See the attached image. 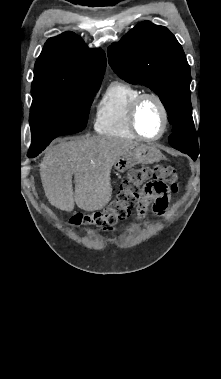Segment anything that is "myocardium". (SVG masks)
Segmentation results:
<instances>
[{"instance_id": "1", "label": "myocardium", "mask_w": 221, "mask_h": 379, "mask_svg": "<svg viewBox=\"0 0 221 379\" xmlns=\"http://www.w3.org/2000/svg\"><path fill=\"white\" fill-rule=\"evenodd\" d=\"M147 99H152L154 100L160 107L162 117H163V125L160 133L154 137H147L141 133V131L138 128L137 124V115L139 108L141 104L147 100ZM128 120H129V125L133 133L140 139L145 140V141H156L159 140L160 138L163 137V135L166 133L169 125V114L167 107L162 100V98L155 94V93H141L138 95L130 104L129 107V113H128Z\"/></svg>"}]
</instances>
